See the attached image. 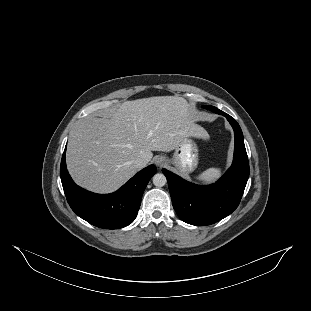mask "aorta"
Returning a JSON list of instances; mask_svg holds the SVG:
<instances>
[{
    "label": "aorta",
    "mask_w": 311,
    "mask_h": 311,
    "mask_svg": "<svg viewBox=\"0 0 311 311\" xmlns=\"http://www.w3.org/2000/svg\"><path fill=\"white\" fill-rule=\"evenodd\" d=\"M152 182L157 187H163L167 183V179L164 174L157 173L153 176Z\"/></svg>",
    "instance_id": "762f6f07"
}]
</instances>
